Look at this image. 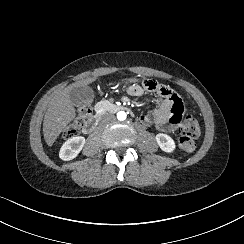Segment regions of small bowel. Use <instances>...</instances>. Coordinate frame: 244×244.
I'll use <instances>...</instances> for the list:
<instances>
[{"label":"small bowel","instance_id":"1","mask_svg":"<svg viewBox=\"0 0 244 244\" xmlns=\"http://www.w3.org/2000/svg\"><path fill=\"white\" fill-rule=\"evenodd\" d=\"M126 92L133 97H140L147 92H152L162 98L157 109L139 116V122L143 126L154 125L160 131H167L178 123L183 112V102L180 96L166 85L154 79L135 80L127 85Z\"/></svg>","mask_w":244,"mask_h":244}]
</instances>
